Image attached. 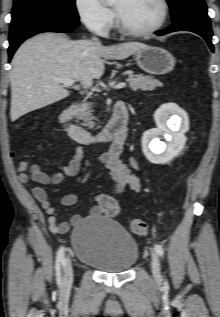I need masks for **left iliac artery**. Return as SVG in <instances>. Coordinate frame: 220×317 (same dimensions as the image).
<instances>
[{
  "label": "left iliac artery",
  "mask_w": 220,
  "mask_h": 317,
  "mask_svg": "<svg viewBox=\"0 0 220 317\" xmlns=\"http://www.w3.org/2000/svg\"><path fill=\"white\" fill-rule=\"evenodd\" d=\"M154 250H155V252H156L159 256L163 257V255H164V250H163V248H162L161 245L156 244V245L154 246Z\"/></svg>",
  "instance_id": "1"
}]
</instances>
